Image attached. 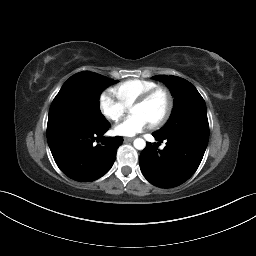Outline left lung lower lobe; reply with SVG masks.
<instances>
[{
	"label": "left lung lower lobe",
	"mask_w": 256,
	"mask_h": 256,
	"mask_svg": "<svg viewBox=\"0 0 256 256\" xmlns=\"http://www.w3.org/2000/svg\"><path fill=\"white\" fill-rule=\"evenodd\" d=\"M159 142L166 140L163 150L158 145L147 143L139 157L144 177L160 188H172L188 180L199 167L208 141L188 134L160 137L152 134Z\"/></svg>",
	"instance_id": "0a47b994"
}]
</instances>
